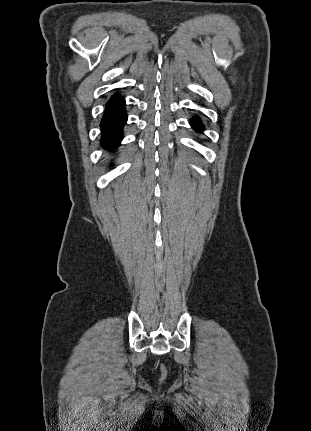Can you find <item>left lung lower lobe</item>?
Segmentation results:
<instances>
[{"instance_id":"1","label":"left lung lower lobe","mask_w":311,"mask_h":431,"mask_svg":"<svg viewBox=\"0 0 311 431\" xmlns=\"http://www.w3.org/2000/svg\"><path fill=\"white\" fill-rule=\"evenodd\" d=\"M190 125L196 130L200 131L202 130L203 126L199 119L193 118L190 120Z\"/></svg>"}]
</instances>
